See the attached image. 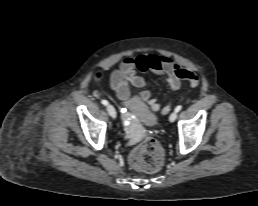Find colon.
Here are the masks:
<instances>
[{
    "instance_id": "1",
    "label": "colon",
    "mask_w": 258,
    "mask_h": 206,
    "mask_svg": "<svg viewBox=\"0 0 258 206\" xmlns=\"http://www.w3.org/2000/svg\"><path fill=\"white\" fill-rule=\"evenodd\" d=\"M190 84L195 86L196 83L191 81ZM129 162L137 170L155 172L164 162V152L159 142L148 136L132 150Z\"/></svg>"
}]
</instances>
